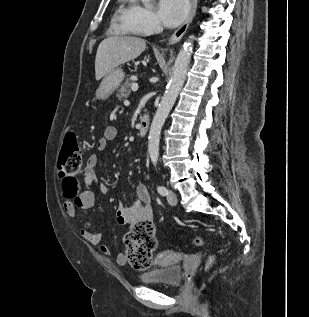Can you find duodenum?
Masks as SVG:
<instances>
[{
    "mask_svg": "<svg viewBox=\"0 0 309 317\" xmlns=\"http://www.w3.org/2000/svg\"><path fill=\"white\" fill-rule=\"evenodd\" d=\"M149 125H150V118L148 115L142 116L140 119V122L138 123L137 129H138V134L140 137H144L148 130H149Z\"/></svg>",
    "mask_w": 309,
    "mask_h": 317,
    "instance_id": "1",
    "label": "duodenum"
}]
</instances>
